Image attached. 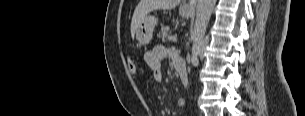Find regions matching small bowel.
<instances>
[{"label":"small bowel","instance_id":"c3829d8e","mask_svg":"<svg viewBox=\"0 0 305 116\" xmlns=\"http://www.w3.org/2000/svg\"><path fill=\"white\" fill-rule=\"evenodd\" d=\"M167 56H171L174 61L179 57L175 51L163 45H157L145 54V62L155 82H161L163 80L162 62ZM177 104L179 107L185 106V102L181 98L177 100Z\"/></svg>","mask_w":305,"mask_h":116}]
</instances>
